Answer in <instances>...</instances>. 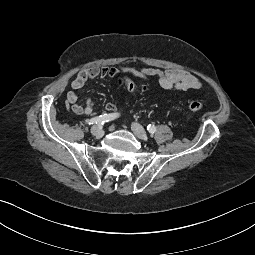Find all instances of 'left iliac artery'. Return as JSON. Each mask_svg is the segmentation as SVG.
<instances>
[{
    "label": "left iliac artery",
    "mask_w": 255,
    "mask_h": 255,
    "mask_svg": "<svg viewBox=\"0 0 255 255\" xmlns=\"http://www.w3.org/2000/svg\"><path fill=\"white\" fill-rule=\"evenodd\" d=\"M147 130L149 133H155L156 132V127L154 125H148Z\"/></svg>",
    "instance_id": "1"
}]
</instances>
